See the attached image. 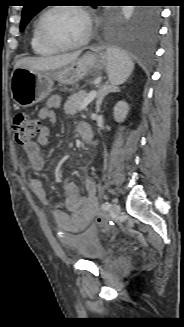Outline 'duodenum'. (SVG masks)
Here are the masks:
<instances>
[{"mask_svg":"<svg viewBox=\"0 0 184 327\" xmlns=\"http://www.w3.org/2000/svg\"><path fill=\"white\" fill-rule=\"evenodd\" d=\"M88 129H89V126L87 124H82L81 125V134H80V136L84 141L88 140Z\"/></svg>","mask_w":184,"mask_h":327,"instance_id":"obj_1","label":"duodenum"}]
</instances>
